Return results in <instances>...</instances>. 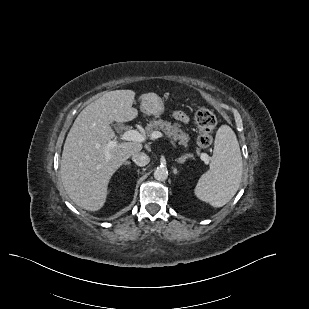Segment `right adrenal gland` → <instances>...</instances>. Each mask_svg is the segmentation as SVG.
<instances>
[{"mask_svg":"<svg viewBox=\"0 0 309 309\" xmlns=\"http://www.w3.org/2000/svg\"><path fill=\"white\" fill-rule=\"evenodd\" d=\"M130 164H131L130 161H125V162H124V165H130Z\"/></svg>","mask_w":309,"mask_h":309,"instance_id":"obj_1","label":"right adrenal gland"}]
</instances>
